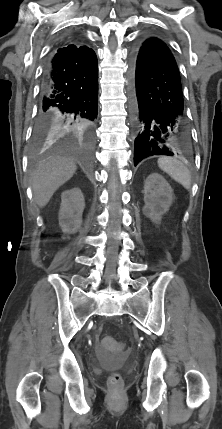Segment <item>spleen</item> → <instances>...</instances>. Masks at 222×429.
Instances as JSON below:
<instances>
[{"label": "spleen", "instance_id": "1", "mask_svg": "<svg viewBox=\"0 0 222 429\" xmlns=\"http://www.w3.org/2000/svg\"><path fill=\"white\" fill-rule=\"evenodd\" d=\"M158 165L175 181L179 182L184 188L191 186V175L188 168L179 160L170 157H161L158 159Z\"/></svg>", "mask_w": 222, "mask_h": 429}]
</instances>
